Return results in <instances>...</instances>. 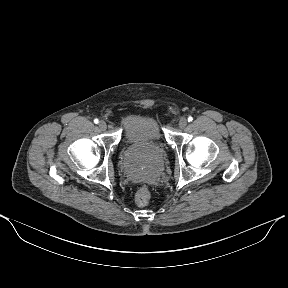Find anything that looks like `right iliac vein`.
I'll list each match as a JSON object with an SVG mask.
<instances>
[{
  "label": "right iliac vein",
  "mask_w": 288,
  "mask_h": 288,
  "mask_svg": "<svg viewBox=\"0 0 288 288\" xmlns=\"http://www.w3.org/2000/svg\"><path fill=\"white\" fill-rule=\"evenodd\" d=\"M98 126L103 131L106 130V128H107V124L105 121H100Z\"/></svg>",
  "instance_id": "right-iliac-vein-1"
}]
</instances>
